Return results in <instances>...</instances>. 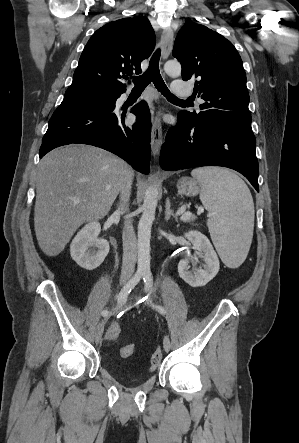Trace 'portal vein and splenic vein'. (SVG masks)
I'll use <instances>...</instances> for the list:
<instances>
[{
  "label": "portal vein and splenic vein",
  "instance_id": "1",
  "mask_svg": "<svg viewBox=\"0 0 299 443\" xmlns=\"http://www.w3.org/2000/svg\"><path fill=\"white\" fill-rule=\"evenodd\" d=\"M198 212L202 213L203 212V208L199 209ZM191 217H192V213L191 212H184L182 214V216L180 217V220L183 221V222H186V221L190 220Z\"/></svg>",
  "mask_w": 299,
  "mask_h": 443
}]
</instances>
